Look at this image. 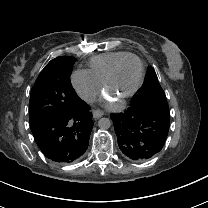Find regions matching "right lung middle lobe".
<instances>
[{
	"label": "right lung middle lobe",
	"instance_id": "dd1d6c3e",
	"mask_svg": "<svg viewBox=\"0 0 208 208\" xmlns=\"http://www.w3.org/2000/svg\"><path fill=\"white\" fill-rule=\"evenodd\" d=\"M74 62V57L59 56L41 71L31 91L30 123L68 114L79 107L80 98L70 81Z\"/></svg>",
	"mask_w": 208,
	"mask_h": 208
}]
</instances>
